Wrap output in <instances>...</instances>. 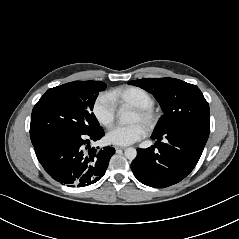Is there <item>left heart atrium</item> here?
Here are the masks:
<instances>
[{
    "mask_svg": "<svg viewBox=\"0 0 239 239\" xmlns=\"http://www.w3.org/2000/svg\"><path fill=\"white\" fill-rule=\"evenodd\" d=\"M146 132V126L141 123L116 125L108 131L107 139L112 144L126 146L143 138Z\"/></svg>",
    "mask_w": 239,
    "mask_h": 239,
    "instance_id": "left-heart-atrium-1",
    "label": "left heart atrium"
}]
</instances>
